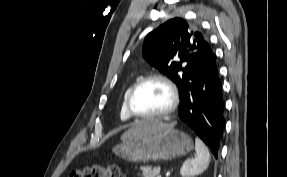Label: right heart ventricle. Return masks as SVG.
Returning <instances> with one entry per match:
<instances>
[{
    "mask_svg": "<svg viewBox=\"0 0 287 177\" xmlns=\"http://www.w3.org/2000/svg\"><path fill=\"white\" fill-rule=\"evenodd\" d=\"M134 83L135 82L130 83L127 86V88L125 89L124 94H123V100H122L121 109H120V116L123 120H130L131 119V116L129 115V113L127 112V109H126V97H127L128 92Z\"/></svg>",
    "mask_w": 287,
    "mask_h": 177,
    "instance_id": "obj_1",
    "label": "right heart ventricle"
}]
</instances>
